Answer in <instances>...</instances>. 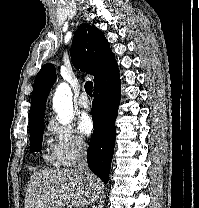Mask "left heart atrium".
Segmentation results:
<instances>
[{"label":"left heart atrium","instance_id":"39dd6f15","mask_svg":"<svg viewBox=\"0 0 199 208\" xmlns=\"http://www.w3.org/2000/svg\"><path fill=\"white\" fill-rule=\"evenodd\" d=\"M79 132L84 136H90L94 131V122L88 113H82L77 122Z\"/></svg>","mask_w":199,"mask_h":208}]
</instances>
